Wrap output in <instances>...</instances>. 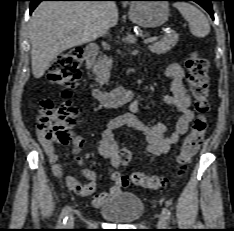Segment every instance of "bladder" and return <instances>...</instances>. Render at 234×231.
Wrapping results in <instances>:
<instances>
[{"mask_svg": "<svg viewBox=\"0 0 234 231\" xmlns=\"http://www.w3.org/2000/svg\"><path fill=\"white\" fill-rule=\"evenodd\" d=\"M144 212L143 201L131 193H120L100 208L102 216L115 223L136 221L144 215Z\"/></svg>", "mask_w": 234, "mask_h": 231, "instance_id": "31cf9c89", "label": "bladder"}]
</instances>
